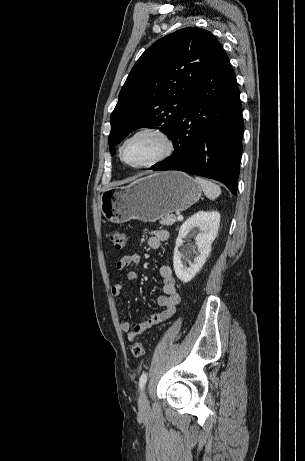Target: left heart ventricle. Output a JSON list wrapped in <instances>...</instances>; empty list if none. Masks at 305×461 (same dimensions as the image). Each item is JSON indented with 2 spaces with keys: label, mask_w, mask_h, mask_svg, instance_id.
I'll return each mask as SVG.
<instances>
[{
  "label": "left heart ventricle",
  "mask_w": 305,
  "mask_h": 461,
  "mask_svg": "<svg viewBox=\"0 0 305 461\" xmlns=\"http://www.w3.org/2000/svg\"><path fill=\"white\" fill-rule=\"evenodd\" d=\"M163 149L161 140L153 135H141L129 141L124 148V158L139 165L156 157Z\"/></svg>",
  "instance_id": "obj_1"
}]
</instances>
